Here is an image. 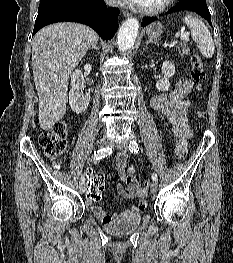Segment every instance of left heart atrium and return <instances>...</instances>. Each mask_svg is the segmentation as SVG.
<instances>
[{
	"mask_svg": "<svg viewBox=\"0 0 233 263\" xmlns=\"http://www.w3.org/2000/svg\"><path fill=\"white\" fill-rule=\"evenodd\" d=\"M131 3L139 4L141 0H128Z\"/></svg>",
	"mask_w": 233,
	"mask_h": 263,
	"instance_id": "obj_1",
	"label": "left heart atrium"
}]
</instances>
